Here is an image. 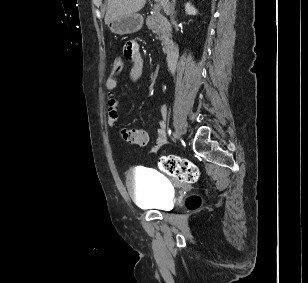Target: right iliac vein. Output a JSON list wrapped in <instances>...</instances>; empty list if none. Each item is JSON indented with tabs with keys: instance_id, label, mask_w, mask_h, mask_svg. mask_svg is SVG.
<instances>
[{
	"instance_id": "obj_1",
	"label": "right iliac vein",
	"mask_w": 308,
	"mask_h": 283,
	"mask_svg": "<svg viewBox=\"0 0 308 283\" xmlns=\"http://www.w3.org/2000/svg\"><path fill=\"white\" fill-rule=\"evenodd\" d=\"M175 136H176V137H178V136H179V133H178V132H176V133H175Z\"/></svg>"
}]
</instances>
